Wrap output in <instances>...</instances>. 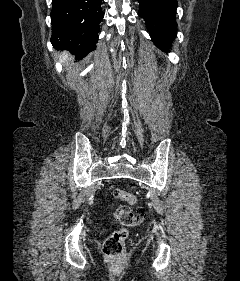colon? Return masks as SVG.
<instances>
[{
	"mask_svg": "<svg viewBox=\"0 0 240 281\" xmlns=\"http://www.w3.org/2000/svg\"><path fill=\"white\" fill-rule=\"evenodd\" d=\"M110 188L115 199L126 203L114 211V217L123 224V227L113 231L103 245L104 255L109 259H115L122 256L124 252L125 241L129 235L128 227L139 225L145 217V210L131 208L137 202L134 193L114 186H110Z\"/></svg>",
	"mask_w": 240,
	"mask_h": 281,
	"instance_id": "1",
	"label": "colon"
}]
</instances>
